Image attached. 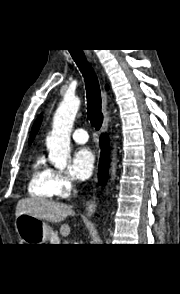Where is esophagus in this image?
<instances>
[{"instance_id":"1","label":"esophagus","mask_w":180,"mask_h":294,"mask_svg":"<svg viewBox=\"0 0 180 294\" xmlns=\"http://www.w3.org/2000/svg\"><path fill=\"white\" fill-rule=\"evenodd\" d=\"M88 55L91 57V53L89 52ZM108 97L106 91L102 90V113H103V125H102V132H106L109 124V116H108ZM97 178L95 176L94 182L96 183ZM97 205L95 201H91L86 205V214L88 217H91L94 212L96 211Z\"/></svg>"}]
</instances>
